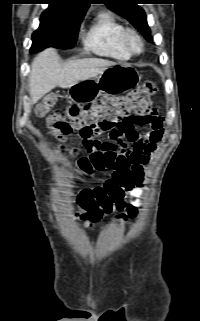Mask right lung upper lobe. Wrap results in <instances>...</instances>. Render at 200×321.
<instances>
[{
	"label": "right lung upper lobe",
	"instance_id": "obj_1",
	"mask_svg": "<svg viewBox=\"0 0 200 321\" xmlns=\"http://www.w3.org/2000/svg\"><path fill=\"white\" fill-rule=\"evenodd\" d=\"M46 11L52 15L65 16L74 13L86 12L92 0H49Z\"/></svg>",
	"mask_w": 200,
	"mask_h": 321
}]
</instances>
